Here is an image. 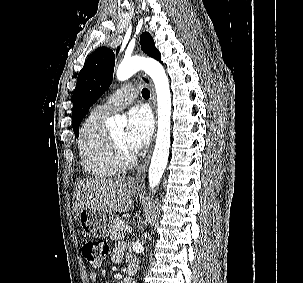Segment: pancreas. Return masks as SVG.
I'll return each mask as SVG.
<instances>
[{"instance_id":"cf45deb5","label":"pancreas","mask_w":303,"mask_h":283,"mask_svg":"<svg viewBox=\"0 0 303 283\" xmlns=\"http://www.w3.org/2000/svg\"><path fill=\"white\" fill-rule=\"evenodd\" d=\"M122 220L120 218H115L112 223L110 238L112 240H119L125 237V225L120 224Z\"/></svg>"}]
</instances>
